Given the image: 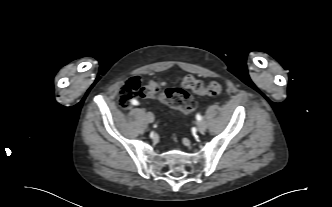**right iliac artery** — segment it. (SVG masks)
<instances>
[{"mask_svg":"<svg viewBox=\"0 0 332 207\" xmlns=\"http://www.w3.org/2000/svg\"><path fill=\"white\" fill-rule=\"evenodd\" d=\"M133 105H138L139 103H138V101L137 100H132V102H131Z\"/></svg>","mask_w":332,"mask_h":207,"instance_id":"obj_1","label":"right iliac artery"}]
</instances>
